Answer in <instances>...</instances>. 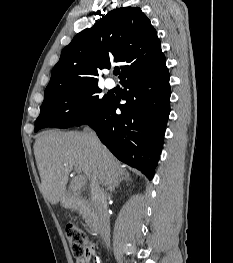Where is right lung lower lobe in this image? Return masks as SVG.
Instances as JSON below:
<instances>
[{"mask_svg":"<svg viewBox=\"0 0 233 263\" xmlns=\"http://www.w3.org/2000/svg\"><path fill=\"white\" fill-rule=\"evenodd\" d=\"M128 89L124 100H109L80 124H88L107 148L149 179L162 150L170 112L169 73L166 64L155 72L136 74L120 82ZM121 114L116 113V109Z\"/></svg>","mask_w":233,"mask_h":263,"instance_id":"1","label":"right lung lower lobe"}]
</instances>
